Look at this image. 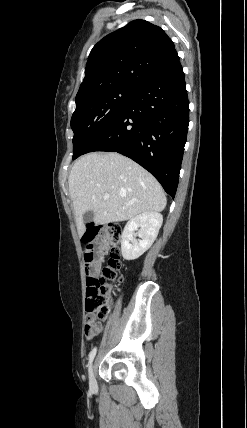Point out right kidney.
Here are the masks:
<instances>
[{"mask_svg":"<svg viewBox=\"0 0 247 428\" xmlns=\"http://www.w3.org/2000/svg\"><path fill=\"white\" fill-rule=\"evenodd\" d=\"M162 222L163 216L152 211L139 214L128 221L121 236L123 258L134 260L146 252L155 241ZM137 236L140 238L138 241Z\"/></svg>","mask_w":247,"mask_h":428,"instance_id":"ca27d5eb","label":"right kidney"}]
</instances>
